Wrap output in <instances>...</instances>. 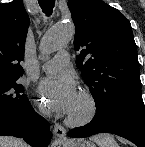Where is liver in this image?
<instances>
[{"label": "liver", "mask_w": 145, "mask_h": 147, "mask_svg": "<svg viewBox=\"0 0 145 147\" xmlns=\"http://www.w3.org/2000/svg\"><path fill=\"white\" fill-rule=\"evenodd\" d=\"M0 147H28V146L23 140L19 138L0 136Z\"/></svg>", "instance_id": "liver-1"}]
</instances>
